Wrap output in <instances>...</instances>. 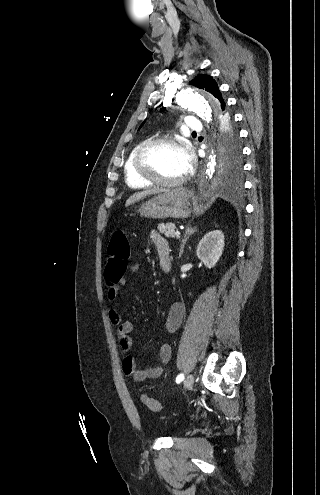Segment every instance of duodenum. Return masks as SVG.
Instances as JSON below:
<instances>
[{
  "instance_id": "1",
  "label": "duodenum",
  "mask_w": 320,
  "mask_h": 495,
  "mask_svg": "<svg viewBox=\"0 0 320 495\" xmlns=\"http://www.w3.org/2000/svg\"><path fill=\"white\" fill-rule=\"evenodd\" d=\"M159 256H160V266L162 270L168 273L171 270V266H172L169 248H166L165 250L161 251Z\"/></svg>"
}]
</instances>
